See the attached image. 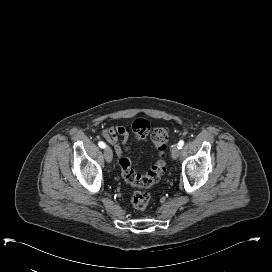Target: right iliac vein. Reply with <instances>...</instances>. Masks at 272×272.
<instances>
[{
  "label": "right iliac vein",
  "instance_id": "63e3f726",
  "mask_svg": "<svg viewBox=\"0 0 272 272\" xmlns=\"http://www.w3.org/2000/svg\"><path fill=\"white\" fill-rule=\"evenodd\" d=\"M104 157H105V160L110 163L113 159V153L111 151L110 148H105L104 150Z\"/></svg>",
  "mask_w": 272,
  "mask_h": 272
}]
</instances>
